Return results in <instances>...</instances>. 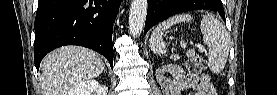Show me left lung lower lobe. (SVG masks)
Masks as SVG:
<instances>
[{
	"mask_svg": "<svg viewBox=\"0 0 277 95\" xmlns=\"http://www.w3.org/2000/svg\"><path fill=\"white\" fill-rule=\"evenodd\" d=\"M204 1H206L207 4L201 1L202 3L195 6L187 5L183 3L182 0H148V11L144 33L146 34L151 27L168 17L185 11L208 9L218 12L221 17L225 19L224 9L220 0Z\"/></svg>",
	"mask_w": 277,
	"mask_h": 95,
	"instance_id": "1",
	"label": "left lung lower lobe"
}]
</instances>
